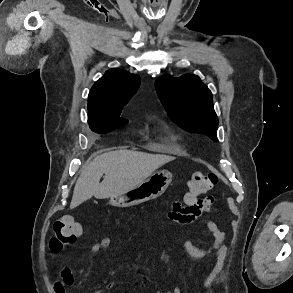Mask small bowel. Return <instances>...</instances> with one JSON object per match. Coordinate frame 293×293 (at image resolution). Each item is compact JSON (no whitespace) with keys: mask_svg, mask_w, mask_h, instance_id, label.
<instances>
[{"mask_svg":"<svg viewBox=\"0 0 293 293\" xmlns=\"http://www.w3.org/2000/svg\"><path fill=\"white\" fill-rule=\"evenodd\" d=\"M213 203V198L211 196L206 197L202 201L187 207L185 204L180 202H175L172 206L171 211L168 212L167 218L173 222L180 224H187L195 221L202 212H208L211 209ZM205 225L209 229L214 242L211 246L202 248L193 244L189 239L184 241V247L186 252L191 258L203 259L211 254H215L217 258V264L215 265L211 274L205 279L202 286L208 287L211 281L218 275L221 270L222 262L226 256V246L223 244L227 233L222 231L214 222L206 221ZM83 232V231H82ZM81 232V234H82ZM80 234V235H81ZM112 245V239L109 237H104L100 241L94 243L91 246V252L93 254H98L104 250H107ZM60 280H56L53 284L55 293H66V286H71L74 281L73 272L69 268H62L60 270ZM114 284L112 282L108 283L107 287L109 289L113 288ZM166 293H182L180 287H174Z\"/></svg>","mask_w":293,"mask_h":293,"instance_id":"small-bowel-1","label":"small bowel"}]
</instances>
